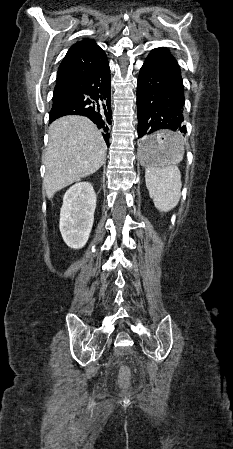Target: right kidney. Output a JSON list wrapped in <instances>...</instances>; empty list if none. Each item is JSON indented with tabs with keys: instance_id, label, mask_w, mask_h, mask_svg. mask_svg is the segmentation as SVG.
Listing matches in <instances>:
<instances>
[{
	"instance_id": "obj_1",
	"label": "right kidney",
	"mask_w": 233,
	"mask_h": 449,
	"mask_svg": "<svg viewBox=\"0 0 233 449\" xmlns=\"http://www.w3.org/2000/svg\"><path fill=\"white\" fill-rule=\"evenodd\" d=\"M96 208V194L89 182L73 185L63 197L60 232L72 249H81L88 241Z\"/></svg>"
}]
</instances>
